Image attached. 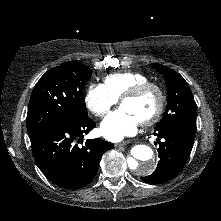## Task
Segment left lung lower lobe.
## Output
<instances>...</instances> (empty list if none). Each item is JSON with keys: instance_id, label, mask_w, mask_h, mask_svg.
I'll return each mask as SVG.
<instances>
[{"instance_id": "obj_1", "label": "left lung lower lobe", "mask_w": 221, "mask_h": 221, "mask_svg": "<svg viewBox=\"0 0 221 221\" xmlns=\"http://www.w3.org/2000/svg\"><path fill=\"white\" fill-rule=\"evenodd\" d=\"M154 130V135L158 137L160 161L155 172L141 177V180L150 184H160L173 179L180 173L192 150L193 141L169 128ZM159 138L164 141L161 142Z\"/></svg>"}]
</instances>
